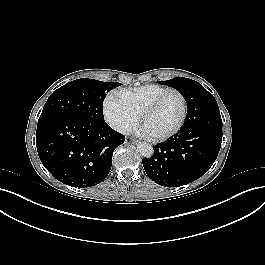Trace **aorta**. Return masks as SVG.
Returning a JSON list of instances; mask_svg holds the SVG:
<instances>
[{
  "mask_svg": "<svg viewBox=\"0 0 265 265\" xmlns=\"http://www.w3.org/2000/svg\"><path fill=\"white\" fill-rule=\"evenodd\" d=\"M136 146V152L144 158H149L154 153L153 146L148 142H138Z\"/></svg>",
  "mask_w": 265,
  "mask_h": 265,
  "instance_id": "aorta-1",
  "label": "aorta"
}]
</instances>
